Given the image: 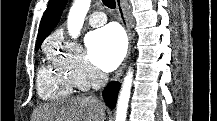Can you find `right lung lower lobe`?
Listing matches in <instances>:
<instances>
[{
  "mask_svg": "<svg viewBox=\"0 0 217 121\" xmlns=\"http://www.w3.org/2000/svg\"><path fill=\"white\" fill-rule=\"evenodd\" d=\"M119 88H120L119 83L111 82L107 85V87L103 91L104 101L110 108L115 107Z\"/></svg>",
  "mask_w": 217,
  "mask_h": 121,
  "instance_id": "obj_1",
  "label": "right lung lower lobe"
}]
</instances>
